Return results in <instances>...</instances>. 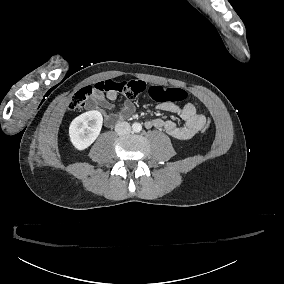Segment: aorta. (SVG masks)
<instances>
[{
	"instance_id": "aorta-1",
	"label": "aorta",
	"mask_w": 284,
	"mask_h": 284,
	"mask_svg": "<svg viewBox=\"0 0 284 284\" xmlns=\"http://www.w3.org/2000/svg\"><path fill=\"white\" fill-rule=\"evenodd\" d=\"M132 130L134 132H140L142 130V125L140 123L135 122L132 125Z\"/></svg>"
}]
</instances>
